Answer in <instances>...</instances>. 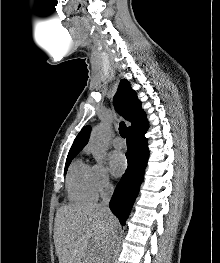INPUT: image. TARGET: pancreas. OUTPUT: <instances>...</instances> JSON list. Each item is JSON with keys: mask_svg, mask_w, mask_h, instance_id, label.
<instances>
[{"mask_svg": "<svg viewBox=\"0 0 220 263\" xmlns=\"http://www.w3.org/2000/svg\"><path fill=\"white\" fill-rule=\"evenodd\" d=\"M103 261H104V258L101 257L100 255L96 254L95 258L93 260V263H103Z\"/></svg>", "mask_w": 220, "mask_h": 263, "instance_id": "pancreas-1", "label": "pancreas"}]
</instances>
